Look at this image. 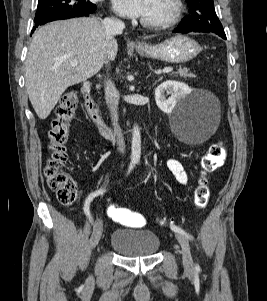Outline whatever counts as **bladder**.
<instances>
[{"label":"bladder","mask_w":267,"mask_h":301,"mask_svg":"<svg viewBox=\"0 0 267 301\" xmlns=\"http://www.w3.org/2000/svg\"><path fill=\"white\" fill-rule=\"evenodd\" d=\"M110 246L128 258L154 255L160 247L158 235L151 230L123 228L112 233Z\"/></svg>","instance_id":"bladder-1"}]
</instances>
